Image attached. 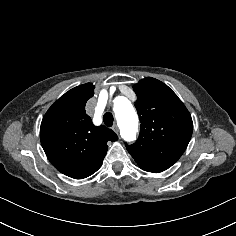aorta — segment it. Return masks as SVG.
<instances>
[{"label": "aorta", "mask_w": 236, "mask_h": 236, "mask_svg": "<svg viewBox=\"0 0 236 236\" xmlns=\"http://www.w3.org/2000/svg\"><path fill=\"white\" fill-rule=\"evenodd\" d=\"M113 109L121 136L127 141L135 140L139 120L131 102L126 97H117Z\"/></svg>", "instance_id": "aorta-1"}]
</instances>
